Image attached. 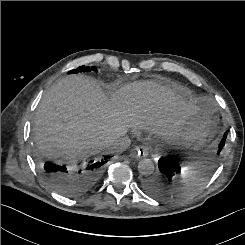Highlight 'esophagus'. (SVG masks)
Segmentation results:
<instances>
[{
	"label": "esophagus",
	"mask_w": 245,
	"mask_h": 245,
	"mask_svg": "<svg viewBox=\"0 0 245 245\" xmlns=\"http://www.w3.org/2000/svg\"><path fill=\"white\" fill-rule=\"evenodd\" d=\"M131 151L133 152V156L138 158L148 156V149L145 146H136Z\"/></svg>",
	"instance_id": "esophagus-1"
}]
</instances>
